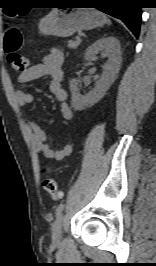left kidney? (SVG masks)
Returning a JSON list of instances; mask_svg holds the SVG:
<instances>
[{
	"mask_svg": "<svg viewBox=\"0 0 156 266\" xmlns=\"http://www.w3.org/2000/svg\"><path fill=\"white\" fill-rule=\"evenodd\" d=\"M98 54L106 56L108 61L103 65L101 78L96 82L93 90L82 95L78 88V81L76 79L70 81L71 105L75 110H82L93 106L103 98L119 72L121 66V47L116 37L104 36L98 39L86 49L84 58L87 61H92Z\"/></svg>",
	"mask_w": 156,
	"mask_h": 266,
	"instance_id": "5707ae66",
	"label": "left kidney"
}]
</instances>
